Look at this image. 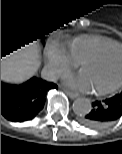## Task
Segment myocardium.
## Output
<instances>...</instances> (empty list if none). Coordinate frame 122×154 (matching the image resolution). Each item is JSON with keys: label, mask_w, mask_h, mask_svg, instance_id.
<instances>
[{"label": "myocardium", "mask_w": 122, "mask_h": 154, "mask_svg": "<svg viewBox=\"0 0 122 154\" xmlns=\"http://www.w3.org/2000/svg\"><path fill=\"white\" fill-rule=\"evenodd\" d=\"M114 49H122V45L114 44L112 46L106 47L104 49H101V50H99V51H97L95 53H92V54L84 57L79 62L80 68L82 69L83 66L86 63H88L90 61H93V60H96V59L100 58L102 55H104L105 53H107V52H109L111 50H114ZM120 87H122V76L115 83H113V84H111V85H109L107 87L98 89V90H92V93L95 94V95H105V94H109V93H112V92L116 91Z\"/></svg>", "instance_id": "f54148a6"}]
</instances>
